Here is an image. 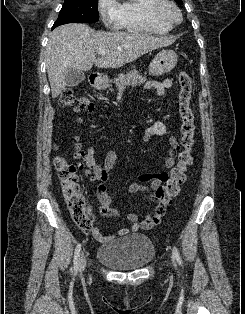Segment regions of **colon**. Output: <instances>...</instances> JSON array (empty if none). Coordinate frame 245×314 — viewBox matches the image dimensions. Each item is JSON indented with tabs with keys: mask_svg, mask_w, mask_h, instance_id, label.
Listing matches in <instances>:
<instances>
[{
	"mask_svg": "<svg viewBox=\"0 0 245 314\" xmlns=\"http://www.w3.org/2000/svg\"><path fill=\"white\" fill-rule=\"evenodd\" d=\"M180 91L178 95L179 114L182 118L181 144L183 151L178 156L177 165L171 170L166 183L159 186L154 195L157 203L156 210L163 212L174 198L186 179V171L192 164V147L194 136L193 113L190 108L192 79L190 75L182 71L178 75ZM80 100L77 99L72 89H65L60 94L58 104L62 108L80 109ZM81 151V147H76ZM64 200L69 210L72 221L84 232L92 229V222L87 214L86 198L79 187L77 171L83 167L82 162L72 163L64 156H58L54 160Z\"/></svg>",
	"mask_w": 245,
	"mask_h": 314,
	"instance_id": "1",
	"label": "colon"
}]
</instances>
